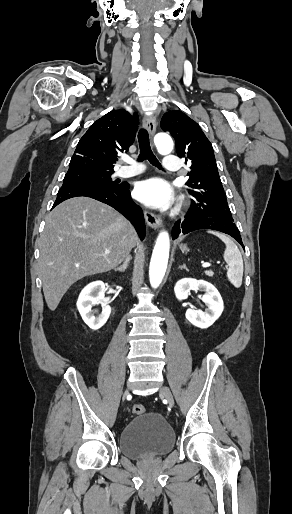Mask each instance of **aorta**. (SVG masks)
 Listing matches in <instances>:
<instances>
[{
	"instance_id": "1",
	"label": "aorta",
	"mask_w": 292,
	"mask_h": 514,
	"mask_svg": "<svg viewBox=\"0 0 292 514\" xmlns=\"http://www.w3.org/2000/svg\"><path fill=\"white\" fill-rule=\"evenodd\" d=\"M154 142L159 154H162V156L171 154L174 144L170 136H167V134H157ZM169 248V236L167 232H161L157 238L150 262L149 278L152 288H158L165 276L169 258Z\"/></svg>"
}]
</instances>
